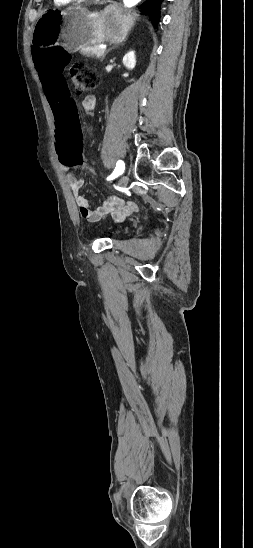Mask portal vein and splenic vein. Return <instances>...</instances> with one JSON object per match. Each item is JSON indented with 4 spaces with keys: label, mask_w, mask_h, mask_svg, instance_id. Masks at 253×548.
I'll list each match as a JSON object with an SVG mask.
<instances>
[{
    "label": "portal vein and splenic vein",
    "mask_w": 253,
    "mask_h": 548,
    "mask_svg": "<svg viewBox=\"0 0 253 548\" xmlns=\"http://www.w3.org/2000/svg\"><path fill=\"white\" fill-rule=\"evenodd\" d=\"M100 49H101V50H105V47H104V46H100Z\"/></svg>",
    "instance_id": "18ae733b"
}]
</instances>
